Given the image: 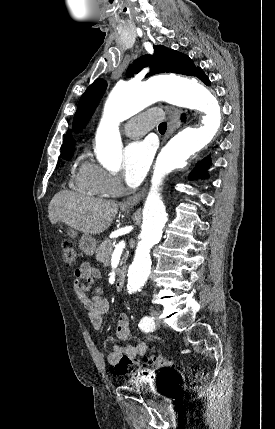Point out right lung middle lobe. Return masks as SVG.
Returning a JSON list of instances; mask_svg holds the SVG:
<instances>
[{
    "mask_svg": "<svg viewBox=\"0 0 275 429\" xmlns=\"http://www.w3.org/2000/svg\"><path fill=\"white\" fill-rule=\"evenodd\" d=\"M72 157V155L69 156H62V158H64L65 160H69Z\"/></svg>",
    "mask_w": 275,
    "mask_h": 429,
    "instance_id": "obj_1",
    "label": "right lung middle lobe"
}]
</instances>
